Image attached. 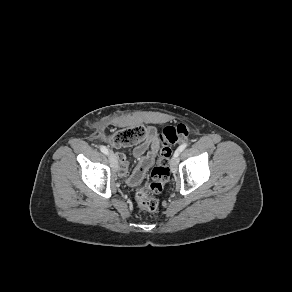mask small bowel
<instances>
[{
	"label": "small bowel",
	"instance_id": "small-bowel-1",
	"mask_svg": "<svg viewBox=\"0 0 292 292\" xmlns=\"http://www.w3.org/2000/svg\"><path fill=\"white\" fill-rule=\"evenodd\" d=\"M160 148V140L156 129L150 127L147 129L145 138L137 144L132 150V156L137 159V165L131 174L128 172L130 161L123 152L116 153V159L119 164L122 177H129L130 181L138 184L145 177L147 171L153 166Z\"/></svg>",
	"mask_w": 292,
	"mask_h": 292
}]
</instances>
